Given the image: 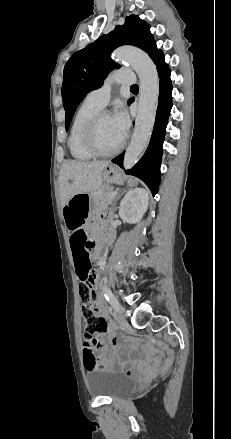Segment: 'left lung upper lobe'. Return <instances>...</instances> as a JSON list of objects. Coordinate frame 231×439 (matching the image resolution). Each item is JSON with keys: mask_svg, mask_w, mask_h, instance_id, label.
<instances>
[{"mask_svg": "<svg viewBox=\"0 0 231 439\" xmlns=\"http://www.w3.org/2000/svg\"><path fill=\"white\" fill-rule=\"evenodd\" d=\"M141 48L153 58L158 52L150 33V26L138 16L125 19L113 31L75 52L64 66L62 98L65 109V127L68 130L74 112L86 94L102 86L105 77L119 67L110 57L122 45Z\"/></svg>", "mask_w": 231, "mask_h": 439, "instance_id": "5c2ea615", "label": "left lung upper lobe"}]
</instances>
